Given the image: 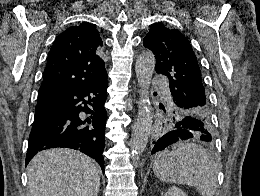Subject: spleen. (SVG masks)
<instances>
[{"mask_svg": "<svg viewBox=\"0 0 260 196\" xmlns=\"http://www.w3.org/2000/svg\"><path fill=\"white\" fill-rule=\"evenodd\" d=\"M153 172L161 182L194 186L201 196H214L216 192L217 166L199 144H173L172 152L158 154Z\"/></svg>", "mask_w": 260, "mask_h": 196, "instance_id": "obj_1", "label": "spleen"}]
</instances>
